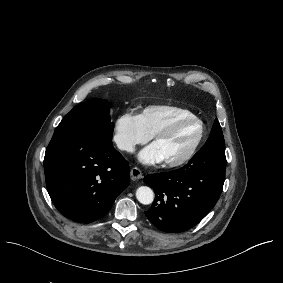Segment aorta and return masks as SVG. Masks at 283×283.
I'll return each instance as SVG.
<instances>
[{"mask_svg": "<svg viewBox=\"0 0 283 283\" xmlns=\"http://www.w3.org/2000/svg\"><path fill=\"white\" fill-rule=\"evenodd\" d=\"M136 198L141 204L148 205L154 200V192L147 186H141L136 190Z\"/></svg>", "mask_w": 283, "mask_h": 283, "instance_id": "762f6f07", "label": "aorta"}]
</instances>
